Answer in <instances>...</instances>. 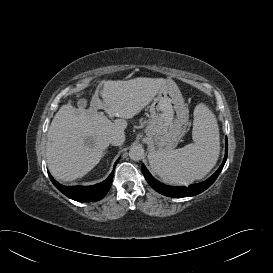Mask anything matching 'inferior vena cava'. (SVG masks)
<instances>
[{
	"instance_id": "inferior-vena-cava-1",
	"label": "inferior vena cava",
	"mask_w": 273,
	"mask_h": 273,
	"mask_svg": "<svg viewBox=\"0 0 273 273\" xmlns=\"http://www.w3.org/2000/svg\"><path fill=\"white\" fill-rule=\"evenodd\" d=\"M125 140V134L122 130H115L108 136V142L112 145H122Z\"/></svg>"
}]
</instances>
